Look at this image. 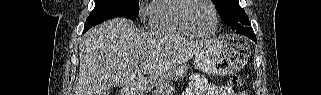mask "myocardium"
<instances>
[{"mask_svg":"<svg viewBox=\"0 0 321 95\" xmlns=\"http://www.w3.org/2000/svg\"><path fill=\"white\" fill-rule=\"evenodd\" d=\"M196 1H204V2L208 3L209 6L212 8L215 25H214V28L211 32L204 33L202 31H200L194 25L193 21L190 18L191 9ZM182 17H183L184 22L187 24V26L192 31H194L198 36H203V37L212 36L213 34H215V32L217 31L218 26H219L218 12H217V9H216L212 0H187V5L184 7V9L182 11Z\"/></svg>","mask_w":321,"mask_h":95,"instance_id":"obj_1","label":"myocardium"}]
</instances>
